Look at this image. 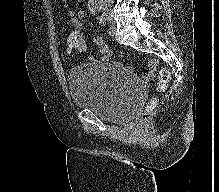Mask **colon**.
Segmentation results:
<instances>
[{
	"instance_id": "obj_1",
	"label": "colon",
	"mask_w": 219,
	"mask_h": 192,
	"mask_svg": "<svg viewBox=\"0 0 219 192\" xmlns=\"http://www.w3.org/2000/svg\"><path fill=\"white\" fill-rule=\"evenodd\" d=\"M68 49L70 52L77 51V52H83L85 51V45L80 39H76L74 41L68 42ZM170 80V73L167 69L162 68L159 71V77H158V89L159 90H165L168 86ZM157 106V100L155 98H151L144 110L143 115L140 118V123L142 125H146L149 120L152 118L156 111Z\"/></svg>"
}]
</instances>
